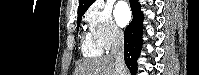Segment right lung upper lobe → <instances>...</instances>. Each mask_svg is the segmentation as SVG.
I'll use <instances>...</instances> for the list:
<instances>
[{"mask_svg": "<svg viewBox=\"0 0 199 75\" xmlns=\"http://www.w3.org/2000/svg\"><path fill=\"white\" fill-rule=\"evenodd\" d=\"M95 0H79L78 16H83L86 10L94 3Z\"/></svg>", "mask_w": 199, "mask_h": 75, "instance_id": "1", "label": "right lung upper lobe"}]
</instances>
